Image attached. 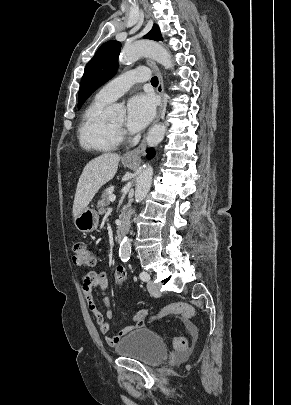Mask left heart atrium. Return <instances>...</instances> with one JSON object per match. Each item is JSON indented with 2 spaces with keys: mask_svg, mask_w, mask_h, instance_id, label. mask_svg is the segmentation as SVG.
I'll list each match as a JSON object with an SVG mask.
<instances>
[{
  "mask_svg": "<svg viewBox=\"0 0 291 405\" xmlns=\"http://www.w3.org/2000/svg\"><path fill=\"white\" fill-rule=\"evenodd\" d=\"M155 103L151 96L138 94L130 98L127 104L126 126L131 133L143 130L153 119Z\"/></svg>",
  "mask_w": 291,
  "mask_h": 405,
  "instance_id": "1",
  "label": "left heart atrium"
}]
</instances>
